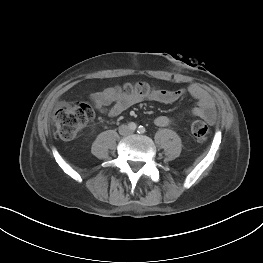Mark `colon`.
<instances>
[{
	"instance_id": "obj_1",
	"label": "colon",
	"mask_w": 263,
	"mask_h": 263,
	"mask_svg": "<svg viewBox=\"0 0 263 263\" xmlns=\"http://www.w3.org/2000/svg\"><path fill=\"white\" fill-rule=\"evenodd\" d=\"M153 91L151 85L146 82L127 83L121 89V92L140 97H145ZM93 117L94 111L87 102L61 106L54 113L55 133L63 140H71L79 134ZM191 132L198 141H205L210 135L209 127L202 120L192 122Z\"/></svg>"
}]
</instances>
